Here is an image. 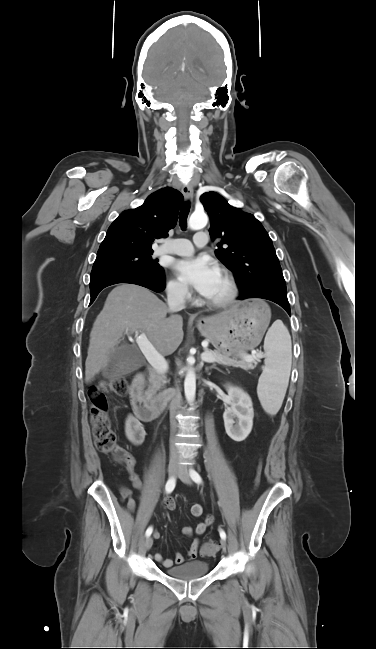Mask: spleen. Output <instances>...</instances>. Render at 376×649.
<instances>
[{"label": "spleen", "instance_id": "spleen-1", "mask_svg": "<svg viewBox=\"0 0 376 649\" xmlns=\"http://www.w3.org/2000/svg\"><path fill=\"white\" fill-rule=\"evenodd\" d=\"M264 350L265 366L258 381L257 394L263 409L275 415L285 397L292 363L291 337L280 321L269 328Z\"/></svg>", "mask_w": 376, "mask_h": 649}]
</instances>
